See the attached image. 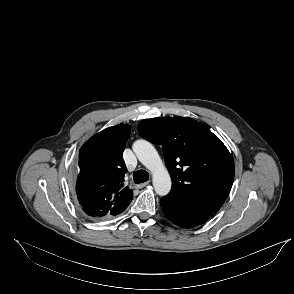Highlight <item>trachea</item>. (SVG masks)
<instances>
[{"instance_id":"trachea-1","label":"trachea","mask_w":294,"mask_h":294,"mask_svg":"<svg viewBox=\"0 0 294 294\" xmlns=\"http://www.w3.org/2000/svg\"><path fill=\"white\" fill-rule=\"evenodd\" d=\"M133 179L136 184L143 183L149 179V174L145 170H138L133 173Z\"/></svg>"}]
</instances>
